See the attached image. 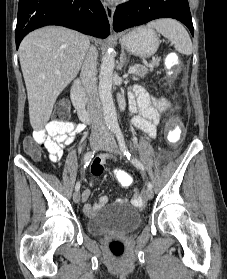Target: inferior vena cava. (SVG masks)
Here are the masks:
<instances>
[{"label": "inferior vena cava", "instance_id": "inferior-vena-cava-1", "mask_svg": "<svg viewBox=\"0 0 227 279\" xmlns=\"http://www.w3.org/2000/svg\"><path fill=\"white\" fill-rule=\"evenodd\" d=\"M97 58L98 51L91 46L86 54L80 78L88 96V110L93 135H107L108 129L103 118L102 108L97 91Z\"/></svg>", "mask_w": 227, "mask_h": 279}]
</instances>
